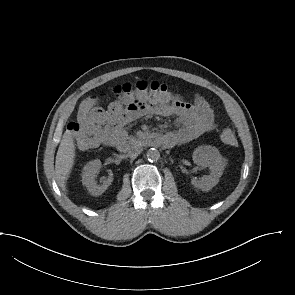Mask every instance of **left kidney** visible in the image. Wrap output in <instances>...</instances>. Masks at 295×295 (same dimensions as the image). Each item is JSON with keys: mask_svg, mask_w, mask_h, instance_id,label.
I'll use <instances>...</instances> for the list:
<instances>
[{"mask_svg": "<svg viewBox=\"0 0 295 295\" xmlns=\"http://www.w3.org/2000/svg\"><path fill=\"white\" fill-rule=\"evenodd\" d=\"M193 161L198 166L209 167V175H204L201 180L192 179L194 187L202 191H208L216 186L223 174L225 160L217 148L212 146H200L193 152Z\"/></svg>", "mask_w": 295, "mask_h": 295, "instance_id": "obj_1", "label": "left kidney"}]
</instances>
